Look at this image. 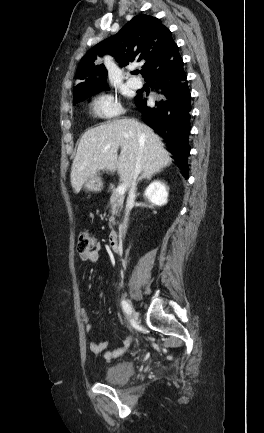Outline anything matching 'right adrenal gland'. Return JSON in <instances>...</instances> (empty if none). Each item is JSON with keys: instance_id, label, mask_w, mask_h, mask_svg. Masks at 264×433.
Here are the masks:
<instances>
[{"instance_id": "1", "label": "right adrenal gland", "mask_w": 264, "mask_h": 433, "mask_svg": "<svg viewBox=\"0 0 264 433\" xmlns=\"http://www.w3.org/2000/svg\"><path fill=\"white\" fill-rule=\"evenodd\" d=\"M143 179H145V180H151L152 179V175H148V174H145V173H143L140 177H139V179H138V181H137V185L143 180ZM136 190H137V188H136Z\"/></svg>"}]
</instances>
